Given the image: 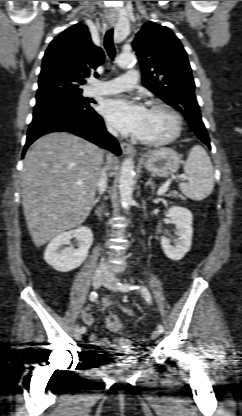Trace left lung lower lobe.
<instances>
[{"instance_id":"left-lung-lower-lobe-1","label":"left lung lower lobe","mask_w":242,"mask_h":416,"mask_svg":"<svg viewBox=\"0 0 242 416\" xmlns=\"http://www.w3.org/2000/svg\"><path fill=\"white\" fill-rule=\"evenodd\" d=\"M203 143H205L209 148L211 147L210 146V141H209V138L208 137H202L201 139H200Z\"/></svg>"}]
</instances>
